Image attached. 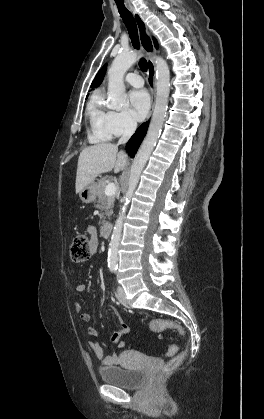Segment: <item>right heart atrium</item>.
I'll list each match as a JSON object with an SVG mask.
<instances>
[{
	"mask_svg": "<svg viewBox=\"0 0 264 419\" xmlns=\"http://www.w3.org/2000/svg\"><path fill=\"white\" fill-rule=\"evenodd\" d=\"M137 124L131 113L127 110L111 111L109 116V127L113 136H120L131 133Z\"/></svg>",
	"mask_w": 264,
	"mask_h": 419,
	"instance_id": "d8ad5b80",
	"label": "right heart atrium"
}]
</instances>
